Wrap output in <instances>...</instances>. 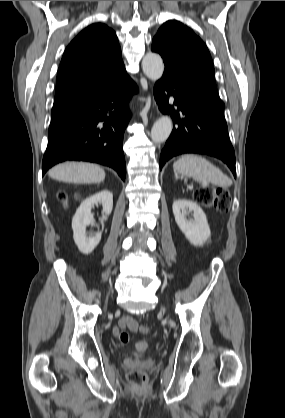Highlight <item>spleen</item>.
I'll return each instance as SVG.
<instances>
[{"mask_svg": "<svg viewBox=\"0 0 285 418\" xmlns=\"http://www.w3.org/2000/svg\"><path fill=\"white\" fill-rule=\"evenodd\" d=\"M173 169L183 176L192 177L204 183H213L223 188L232 184V180L228 176L201 156L193 154L183 155L174 162Z\"/></svg>", "mask_w": 285, "mask_h": 418, "instance_id": "1", "label": "spleen"}]
</instances>
